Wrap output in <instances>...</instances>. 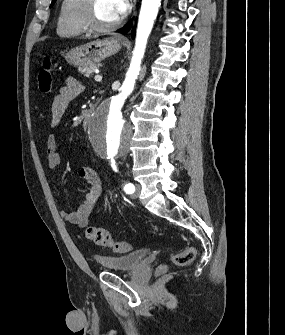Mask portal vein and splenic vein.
Masks as SVG:
<instances>
[{"label": "portal vein and splenic vein", "instance_id": "1", "mask_svg": "<svg viewBox=\"0 0 285 335\" xmlns=\"http://www.w3.org/2000/svg\"><path fill=\"white\" fill-rule=\"evenodd\" d=\"M95 74H99V70H94ZM94 80H96V82H101L102 80V76H95Z\"/></svg>", "mask_w": 285, "mask_h": 335}]
</instances>
